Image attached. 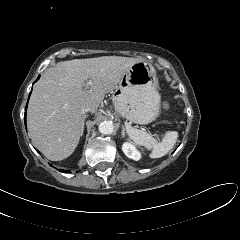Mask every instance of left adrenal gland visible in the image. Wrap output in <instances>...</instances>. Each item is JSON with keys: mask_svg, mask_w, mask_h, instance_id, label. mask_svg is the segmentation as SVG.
Returning a JSON list of instances; mask_svg holds the SVG:
<instances>
[{"mask_svg": "<svg viewBox=\"0 0 240 240\" xmlns=\"http://www.w3.org/2000/svg\"><path fill=\"white\" fill-rule=\"evenodd\" d=\"M122 137H125V128L123 125H122Z\"/></svg>", "mask_w": 240, "mask_h": 240, "instance_id": "left-adrenal-gland-1", "label": "left adrenal gland"}]
</instances>
